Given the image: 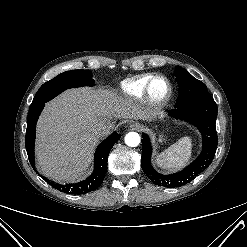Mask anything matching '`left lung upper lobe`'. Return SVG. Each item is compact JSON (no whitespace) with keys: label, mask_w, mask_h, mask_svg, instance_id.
Masks as SVG:
<instances>
[{"label":"left lung upper lobe","mask_w":247,"mask_h":247,"mask_svg":"<svg viewBox=\"0 0 247 247\" xmlns=\"http://www.w3.org/2000/svg\"><path fill=\"white\" fill-rule=\"evenodd\" d=\"M176 77L180 89V98L177 107L196 101L213 99L208 93L206 85L193 77L184 68L177 67Z\"/></svg>","instance_id":"5c2ea615"}]
</instances>
